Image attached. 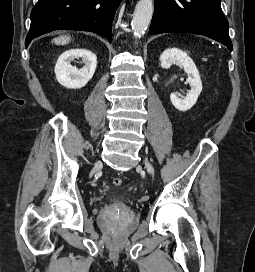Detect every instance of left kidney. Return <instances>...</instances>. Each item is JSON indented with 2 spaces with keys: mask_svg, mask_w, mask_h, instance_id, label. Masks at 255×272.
I'll use <instances>...</instances> for the list:
<instances>
[{
  "mask_svg": "<svg viewBox=\"0 0 255 272\" xmlns=\"http://www.w3.org/2000/svg\"><path fill=\"white\" fill-rule=\"evenodd\" d=\"M160 62L161 67L164 69L170 68L172 64H178L187 73L188 78L186 83L190 85L191 89L188 91L186 97L179 98L172 93L170 100L176 109L183 112L189 110L196 103L202 91V82L195 63L186 52L177 48L166 49L160 56Z\"/></svg>",
  "mask_w": 255,
  "mask_h": 272,
  "instance_id": "1",
  "label": "left kidney"
}]
</instances>
